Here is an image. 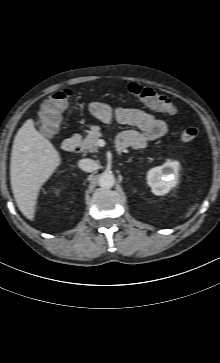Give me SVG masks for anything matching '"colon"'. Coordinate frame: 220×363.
<instances>
[{
    "label": "colon",
    "instance_id": "obj_1",
    "mask_svg": "<svg viewBox=\"0 0 220 363\" xmlns=\"http://www.w3.org/2000/svg\"><path fill=\"white\" fill-rule=\"evenodd\" d=\"M128 92L151 108L169 114H175L178 110L172 100L152 88L131 83L128 86ZM71 95V90L62 89L50 94L45 99L38 121L39 130L43 135L51 136L59 130L62 113L67 108ZM198 135L199 130L194 126H186L180 132V138L184 142L194 141Z\"/></svg>",
    "mask_w": 220,
    "mask_h": 363
}]
</instances>
